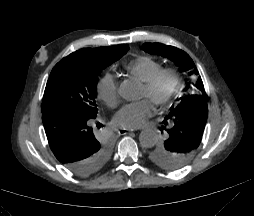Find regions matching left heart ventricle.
I'll use <instances>...</instances> for the list:
<instances>
[{
    "instance_id": "obj_1",
    "label": "left heart ventricle",
    "mask_w": 254,
    "mask_h": 216,
    "mask_svg": "<svg viewBox=\"0 0 254 216\" xmlns=\"http://www.w3.org/2000/svg\"><path fill=\"white\" fill-rule=\"evenodd\" d=\"M167 87V81H163L160 83L159 86H157L153 91H147L144 89V87L140 90V97L142 98H148L151 101H153V98L159 95H162Z\"/></svg>"
}]
</instances>
